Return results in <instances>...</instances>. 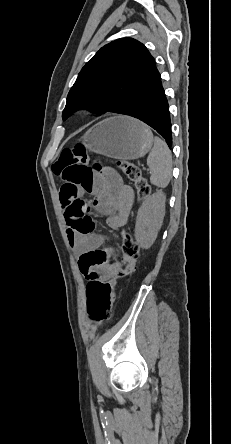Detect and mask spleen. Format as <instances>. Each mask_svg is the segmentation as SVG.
<instances>
[{"mask_svg":"<svg viewBox=\"0 0 231 444\" xmlns=\"http://www.w3.org/2000/svg\"><path fill=\"white\" fill-rule=\"evenodd\" d=\"M150 182L159 188H165L172 176V154L167 144L159 137L154 138V146L148 155Z\"/></svg>","mask_w":231,"mask_h":444,"instance_id":"1","label":"spleen"}]
</instances>
